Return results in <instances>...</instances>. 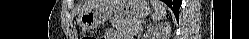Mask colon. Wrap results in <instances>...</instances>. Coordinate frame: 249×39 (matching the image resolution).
Instances as JSON below:
<instances>
[{"instance_id": "5ec220e1", "label": "colon", "mask_w": 249, "mask_h": 39, "mask_svg": "<svg viewBox=\"0 0 249 39\" xmlns=\"http://www.w3.org/2000/svg\"><path fill=\"white\" fill-rule=\"evenodd\" d=\"M81 39H93V37L90 36L89 34L84 33V34H82Z\"/></svg>"}]
</instances>
